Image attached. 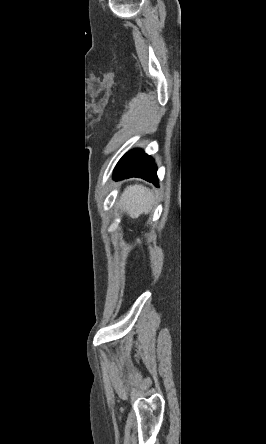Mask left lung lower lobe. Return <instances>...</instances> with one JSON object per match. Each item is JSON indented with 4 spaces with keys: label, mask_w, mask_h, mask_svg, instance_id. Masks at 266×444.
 I'll return each instance as SVG.
<instances>
[{
    "label": "left lung lower lobe",
    "mask_w": 266,
    "mask_h": 444,
    "mask_svg": "<svg viewBox=\"0 0 266 444\" xmlns=\"http://www.w3.org/2000/svg\"><path fill=\"white\" fill-rule=\"evenodd\" d=\"M154 160L142 150L136 149L125 154L114 169V179L140 177L158 186Z\"/></svg>",
    "instance_id": "0a47b994"
}]
</instances>
